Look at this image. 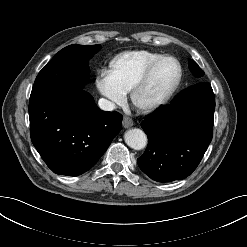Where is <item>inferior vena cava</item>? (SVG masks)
<instances>
[{
    "label": "inferior vena cava",
    "mask_w": 247,
    "mask_h": 247,
    "mask_svg": "<svg viewBox=\"0 0 247 247\" xmlns=\"http://www.w3.org/2000/svg\"><path fill=\"white\" fill-rule=\"evenodd\" d=\"M99 108L104 111H112L115 109V104L107 99L101 98L98 101Z\"/></svg>",
    "instance_id": "obj_1"
}]
</instances>
